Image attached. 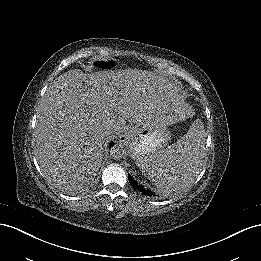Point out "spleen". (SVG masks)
I'll list each match as a JSON object with an SVG mask.
<instances>
[{
    "label": "spleen",
    "instance_id": "3e777b00",
    "mask_svg": "<svg viewBox=\"0 0 261 261\" xmlns=\"http://www.w3.org/2000/svg\"><path fill=\"white\" fill-rule=\"evenodd\" d=\"M200 134L190 128L177 143L140 161L142 169L162 192L180 190L182 183L191 178L200 163Z\"/></svg>",
    "mask_w": 261,
    "mask_h": 261
}]
</instances>
